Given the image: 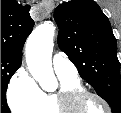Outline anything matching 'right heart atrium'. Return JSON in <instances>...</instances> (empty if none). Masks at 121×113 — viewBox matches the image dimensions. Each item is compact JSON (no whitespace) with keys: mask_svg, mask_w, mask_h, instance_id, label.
I'll use <instances>...</instances> for the list:
<instances>
[{"mask_svg":"<svg viewBox=\"0 0 121 113\" xmlns=\"http://www.w3.org/2000/svg\"><path fill=\"white\" fill-rule=\"evenodd\" d=\"M40 88L34 78L20 68L12 76L7 88V99L12 110L18 112L33 107L39 99Z\"/></svg>","mask_w":121,"mask_h":113,"instance_id":"d8ad5b80","label":"right heart atrium"}]
</instances>
